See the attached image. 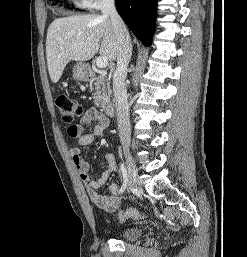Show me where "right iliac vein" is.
Wrapping results in <instances>:
<instances>
[{
	"instance_id": "right-iliac-vein-1",
	"label": "right iliac vein",
	"mask_w": 247,
	"mask_h": 257,
	"mask_svg": "<svg viewBox=\"0 0 247 257\" xmlns=\"http://www.w3.org/2000/svg\"><path fill=\"white\" fill-rule=\"evenodd\" d=\"M124 154L127 161V176H128V191H129L132 188H135L137 185V180H136L137 169L130 154L127 151H125Z\"/></svg>"
}]
</instances>
